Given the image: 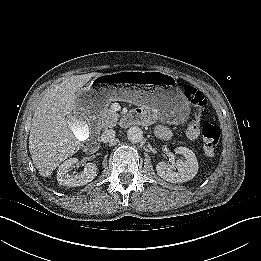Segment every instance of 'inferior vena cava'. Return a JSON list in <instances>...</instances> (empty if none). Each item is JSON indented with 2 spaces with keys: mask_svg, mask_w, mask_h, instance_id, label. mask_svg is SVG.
<instances>
[{
  "mask_svg": "<svg viewBox=\"0 0 261 261\" xmlns=\"http://www.w3.org/2000/svg\"><path fill=\"white\" fill-rule=\"evenodd\" d=\"M115 138V131L113 129L105 130L100 137L103 143L112 141Z\"/></svg>",
  "mask_w": 261,
  "mask_h": 261,
  "instance_id": "obj_1",
  "label": "inferior vena cava"
}]
</instances>
